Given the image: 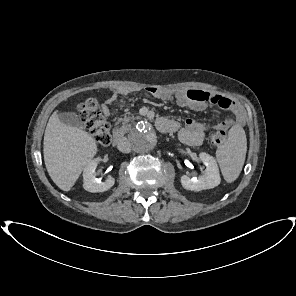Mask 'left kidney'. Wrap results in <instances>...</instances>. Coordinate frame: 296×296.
Returning <instances> with one entry per match:
<instances>
[{
    "mask_svg": "<svg viewBox=\"0 0 296 296\" xmlns=\"http://www.w3.org/2000/svg\"><path fill=\"white\" fill-rule=\"evenodd\" d=\"M199 159L206 166L204 175L198 178H189L187 175L181 177V184L183 188L191 191H201L204 189H211L218 186L221 182L219 168L216 160L211 155L201 152Z\"/></svg>",
    "mask_w": 296,
    "mask_h": 296,
    "instance_id": "obj_1",
    "label": "left kidney"
}]
</instances>
